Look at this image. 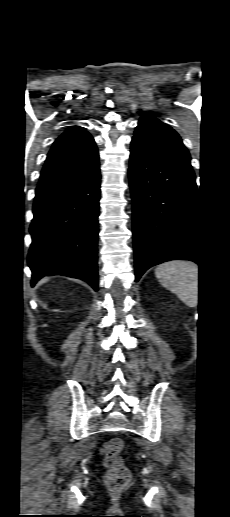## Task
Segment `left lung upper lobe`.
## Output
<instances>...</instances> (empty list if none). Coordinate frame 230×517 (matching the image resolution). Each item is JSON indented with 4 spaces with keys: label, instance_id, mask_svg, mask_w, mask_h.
<instances>
[{
    "label": "left lung upper lobe",
    "instance_id": "5c2ea615",
    "mask_svg": "<svg viewBox=\"0 0 230 517\" xmlns=\"http://www.w3.org/2000/svg\"><path fill=\"white\" fill-rule=\"evenodd\" d=\"M131 145L143 151L190 163V154L177 132L147 114L140 118Z\"/></svg>",
    "mask_w": 230,
    "mask_h": 517
}]
</instances>
